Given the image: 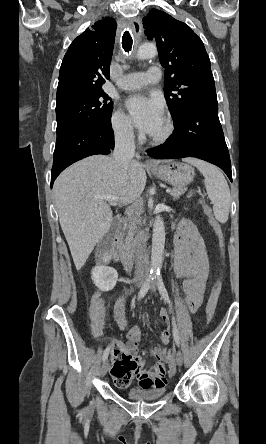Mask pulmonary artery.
Listing matches in <instances>:
<instances>
[{"label":"pulmonary artery","mask_w":266,"mask_h":444,"mask_svg":"<svg viewBox=\"0 0 266 444\" xmlns=\"http://www.w3.org/2000/svg\"><path fill=\"white\" fill-rule=\"evenodd\" d=\"M161 76V69L157 66H151L146 72H136L125 75L118 85L125 90L138 89L149 83L158 82L161 79Z\"/></svg>","instance_id":"obj_1"}]
</instances>
